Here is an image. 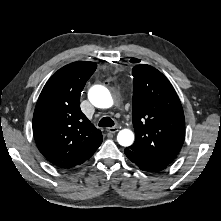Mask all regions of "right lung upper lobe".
Instances as JSON below:
<instances>
[{
	"label": "right lung upper lobe",
	"instance_id": "1",
	"mask_svg": "<svg viewBox=\"0 0 221 221\" xmlns=\"http://www.w3.org/2000/svg\"><path fill=\"white\" fill-rule=\"evenodd\" d=\"M94 62H73L59 69L45 84L33 115L36 145L60 168L89 159L102 143V133L80 110V94L95 72Z\"/></svg>",
	"mask_w": 221,
	"mask_h": 221
}]
</instances>
